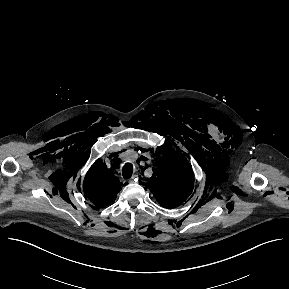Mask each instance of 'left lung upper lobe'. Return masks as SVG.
<instances>
[{
    "label": "left lung upper lobe",
    "instance_id": "obj_1",
    "mask_svg": "<svg viewBox=\"0 0 289 289\" xmlns=\"http://www.w3.org/2000/svg\"><path fill=\"white\" fill-rule=\"evenodd\" d=\"M160 152L157 150L156 154ZM158 169H153L152 178L146 186L158 203L168 209L180 206L191 194L194 175L189 162L183 155L173 150H162V158L157 157Z\"/></svg>",
    "mask_w": 289,
    "mask_h": 289
}]
</instances>
